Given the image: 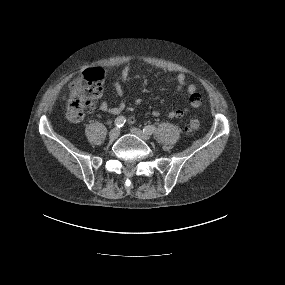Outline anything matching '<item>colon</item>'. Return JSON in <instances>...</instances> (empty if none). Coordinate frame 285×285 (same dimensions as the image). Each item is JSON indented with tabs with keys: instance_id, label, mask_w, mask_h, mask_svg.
<instances>
[{
	"instance_id": "obj_1",
	"label": "colon",
	"mask_w": 285,
	"mask_h": 285,
	"mask_svg": "<svg viewBox=\"0 0 285 285\" xmlns=\"http://www.w3.org/2000/svg\"><path fill=\"white\" fill-rule=\"evenodd\" d=\"M104 72L97 67L88 68L82 75L74 80L66 99L67 116L72 121H80L86 112L92 111L99 100L103 90ZM199 121L190 120L187 130L196 131Z\"/></svg>"
}]
</instances>
